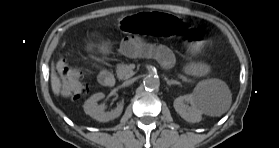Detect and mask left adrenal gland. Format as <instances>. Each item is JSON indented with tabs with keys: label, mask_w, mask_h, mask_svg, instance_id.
<instances>
[{
	"label": "left adrenal gland",
	"mask_w": 279,
	"mask_h": 148,
	"mask_svg": "<svg viewBox=\"0 0 279 148\" xmlns=\"http://www.w3.org/2000/svg\"><path fill=\"white\" fill-rule=\"evenodd\" d=\"M165 81H166V83H167L168 86H171V85H181L180 82H178V81H176V80H172V79L169 80V79L166 78V77H165Z\"/></svg>",
	"instance_id": "a2214340"
}]
</instances>
